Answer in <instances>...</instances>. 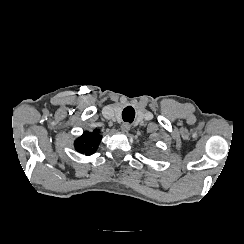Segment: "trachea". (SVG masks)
I'll return each mask as SVG.
<instances>
[{
  "instance_id": "3493384b",
  "label": "trachea",
  "mask_w": 244,
  "mask_h": 244,
  "mask_svg": "<svg viewBox=\"0 0 244 244\" xmlns=\"http://www.w3.org/2000/svg\"><path fill=\"white\" fill-rule=\"evenodd\" d=\"M135 118V110L132 106H127L122 112V119L129 123H132Z\"/></svg>"
}]
</instances>
